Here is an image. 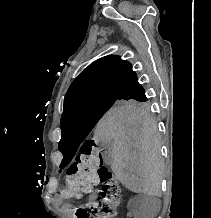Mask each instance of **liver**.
Instances as JSON below:
<instances>
[{
    "label": "liver",
    "mask_w": 211,
    "mask_h": 218,
    "mask_svg": "<svg viewBox=\"0 0 211 218\" xmlns=\"http://www.w3.org/2000/svg\"><path fill=\"white\" fill-rule=\"evenodd\" d=\"M94 140L109 144L111 168L125 188L136 194L160 196L161 138L146 110L111 108L98 122Z\"/></svg>",
    "instance_id": "liver-1"
}]
</instances>
